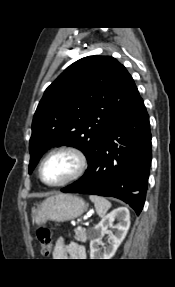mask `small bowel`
Instances as JSON below:
<instances>
[{
	"label": "small bowel",
	"instance_id": "small-bowel-1",
	"mask_svg": "<svg viewBox=\"0 0 175 287\" xmlns=\"http://www.w3.org/2000/svg\"><path fill=\"white\" fill-rule=\"evenodd\" d=\"M54 256L57 259L70 257L74 260H84L86 258V250L83 246L76 243H66L63 238L56 241Z\"/></svg>",
	"mask_w": 175,
	"mask_h": 287
}]
</instances>
